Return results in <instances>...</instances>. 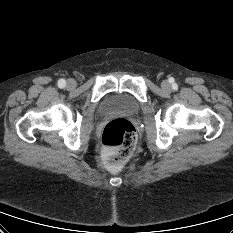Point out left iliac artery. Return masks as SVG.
<instances>
[{
	"instance_id": "1",
	"label": "left iliac artery",
	"mask_w": 233,
	"mask_h": 233,
	"mask_svg": "<svg viewBox=\"0 0 233 233\" xmlns=\"http://www.w3.org/2000/svg\"><path fill=\"white\" fill-rule=\"evenodd\" d=\"M172 87L174 90H176L178 88L176 84H173Z\"/></svg>"
}]
</instances>
